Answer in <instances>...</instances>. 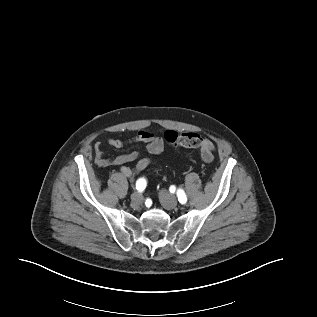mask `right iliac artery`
Here are the masks:
<instances>
[{
	"instance_id": "obj_1",
	"label": "right iliac artery",
	"mask_w": 317,
	"mask_h": 317,
	"mask_svg": "<svg viewBox=\"0 0 317 317\" xmlns=\"http://www.w3.org/2000/svg\"><path fill=\"white\" fill-rule=\"evenodd\" d=\"M146 185H147L146 180L144 178H140L136 182V189L139 192H142L146 188Z\"/></svg>"
}]
</instances>
